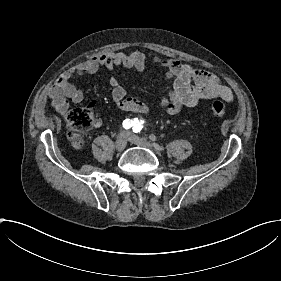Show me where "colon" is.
Instances as JSON below:
<instances>
[{"label":"colon","instance_id":"obj_1","mask_svg":"<svg viewBox=\"0 0 281 281\" xmlns=\"http://www.w3.org/2000/svg\"><path fill=\"white\" fill-rule=\"evenodd\" d=\"M209 115L214 117H224L227 113V105L221 101H213L206 108ZM67 122L71 128V141L76 147H82L87 140V130L89 128L88 118L78 111L70 112Z\"/></svg>","mask_w":281,"mask_h":281}]
</instances>
